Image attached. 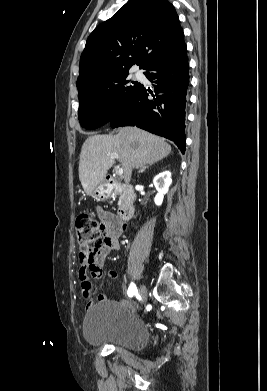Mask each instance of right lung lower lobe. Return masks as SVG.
Instances as JSON below:
<instances>
[{
  "instance_id": "1",
  "label": "right lung lower lobe",
  "mask_w": 267,
  "mask_h": 391,
  "mask_svg": "<svg viewBox=\"0 0 267 391\" xmlns=\"http://www.w3.org/2000/svg\"><path fill=\"white\" fill-rule=\"evenodd\" d=\"M145 70L156 95L142 85L109 122L113 128L137 126L168 138L184 153L185 104L189 86L186 44L158 57ZM149 94H152V100L148 99Z\"/></svg>"
}]
</instances>
